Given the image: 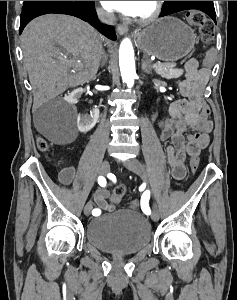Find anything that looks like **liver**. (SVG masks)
<instances>
[{"mask_svg":"<svg viewBox=\"0 0 237 300\" xmlns=\"http://www.w3.org/2000/svg\"><path fill=\"white\" fill-rule=\"evenodd\" d=\"M20 41L24 67L36 89L34 103L91 81L103 59V37L69 15L37 17L25 27Z\"/></svg>","mask_w":237,"mask_h":300,"instance_id":"1","label":"liver"}]
</instances>
